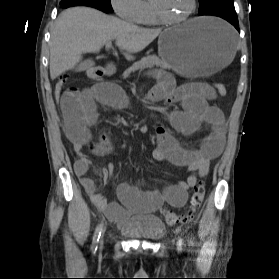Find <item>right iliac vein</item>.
I'll return each instance as SVG.
<instances>
[{
  "label": "right iliac vein",
  "instance_id": "obj_1",
  "mask_svg": "<svg viewBox=\"0 0 279 279\" xmlns=\"http://www.w3.org/2000/svg\"><path fill=\"white\" fill-rule=\"evenodd\" d=\"M102 243H103V240H101V245H102Z\"/></svg>",
  "mask_w": 279,
  "mask_h": 279
}]
</instances>
